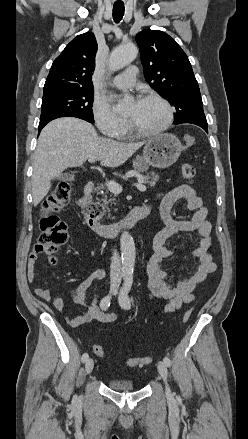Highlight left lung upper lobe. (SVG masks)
I'll list each match as a JSON object with an SVG mask.
<instances>
[{"label": "left lung upper lobe", "instance_id": "left-lung-upper-lobe-1", "mask_svg": "<svg viewBox=\"0 0 248 439\" xmlns=\"http://www.w3.org/2000/svg\"><path fill=\"white\" fill-rule=\"evenodd\" d=\"M136 42L146 81L176 108L174 123L207 122L198 82L177 42L159 30L139 32Z\"/></svg>", "mask_w": 248, "mask_h": 439}]
</instances>
